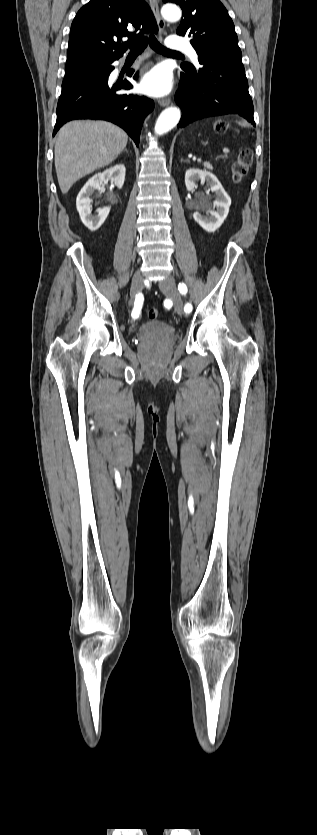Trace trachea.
<instances>
[{"label":"trachea","instance_id":"3493384b","mask_svg":"<svg viewBox=\"0 0 317 835\" xmlns=\"http://www.w3.org/2000/svg\"><path fill=\"white\" fill-rule=\"evenodd\" d=\"M148 44L157 53H161V54H164V55H180L181 54L179 52L167 49L166 47H164L163 45H161L158 42V40L156 39V37L153 34H151V35H149V37H141L137 42L133 43L130 46L129 56H138L139 54H141L144 51V49L147 47Z\"/></svg>","mask_w":317,"mask_h":835}]
</instances>
